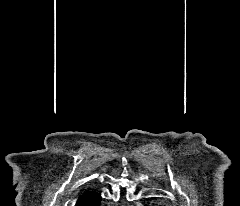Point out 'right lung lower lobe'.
Segmentation results:
<instances>
[{"label":"right lung lower lobe","instance_id":"obj_1","mask_svg":"<svg viewBox=\"0 0 240 206\" xmlns=\"http://www.w3.org/2000/svg\"><path fill=\"white\" fill-rule=\"evenodd\" d=\"M75 206H101V195L95 190H90L79 196Z\"/></svg>","mask_w":240,"mask_h":206}]
</instances>
